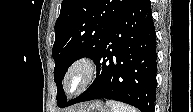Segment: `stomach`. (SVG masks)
<instances>
[{
	"instance_id": "obj_1",
	"label": "stomach",
	"mask_w": 193,
	"mask_h": 112,
	"mask_svg": "<svg viewBox=\"0 0 193 112\" xmlns=\"http://www.w3.org/2000/svg\"><path fill=\"white\" fill-rule=\"evenodd\" d=\"M75 112H110L106 106L100 102L95 101L92 103H85L82 107H79Z\"/></svg>"
}]
</instances>
